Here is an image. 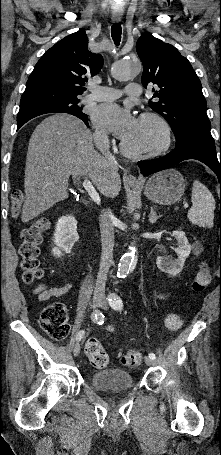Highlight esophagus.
Returning <instances> with one entry per match:
<instances>
[{
  "mask_svg": "<svg viewBox=\"0 0 221 455\" xmlns=\"http://www.w3.org/2000/svg\"><path fill=\"white\" fill-rule=\"evenodd\" d=\"M121 19V17L119 15H113L112 16V21L113 22H119ZM125 180L130 183V184H135V183H138V180L136 179L135 176L131 175V174H126L124 176Z\"/></svg>",
  "mask_w": 221,
  "mask_h": 455,
  "instance_id": "1",
  "label": "esophagus"
}]
</instances>
